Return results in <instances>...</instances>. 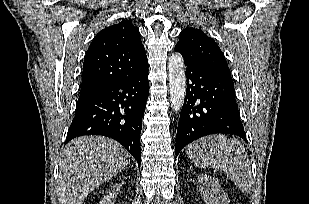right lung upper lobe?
Listing matches in <instances>:
<instances>
[{"label": "right lung upper lobe", "instance_id": "cb5924a9", "mask_svg": "<svg viewBox=\"0 0 309 204\" xmlns=\"http://www.w3.org/2000/svg\"><path fill=\"white\" fill-rule=\"evenodd\" d=\"M147 68L140 32L129 20H123L103 29L93 39L85 55L80 96Z\"/></svg>", "mask_w": 309, "mask_h": 204}]
</instances>
